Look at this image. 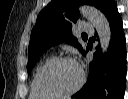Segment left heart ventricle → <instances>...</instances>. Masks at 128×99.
I'll return each mask as SVG.
<instances>
[{
	"label": "left heart ventricle",
	"instance_id": "left-heart-ventricle-1",
	"mask_svg": "<svg viewBox=\"0 0 128 99\" xmlns=\"http://www.w3.org/2000/svg\"><path fill=\"white\" fill-rule=\"evenodd\" d=\"M80 68L76 63L64 62L47 69L42 77V86L51 92H66L80 81Z\"/></svg>",
	"mask_w": 128,
	"mask_h": 99
}]
</instances>
